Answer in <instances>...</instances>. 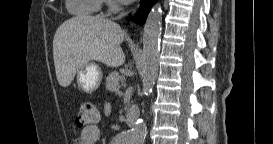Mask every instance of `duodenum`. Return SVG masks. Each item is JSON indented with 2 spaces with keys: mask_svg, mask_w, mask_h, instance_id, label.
I'll use <instances>...</instances> for the list:
<instances>
[{
  "mask_svg": "<svg viewBox=\"0 0 273 144\" xmlns=\"http://www.w3.org/2000/svg\"><path fill=\"white\" fill-rule=\"evenodd\" d=\"M139 117V112L135 107H129L125 114V123L127 125H135Z\"/></svg>",
  "mask_w": 273,
  "mask_h": 144,
  "instance_id": "duodenum-1",
  "label": "duodenum"
}]
</instances>
